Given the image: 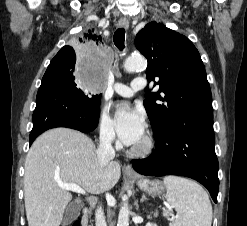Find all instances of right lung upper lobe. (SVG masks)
Listing matches in <instances>:
<instances>
[{
  "label": "right lung upper lobe",
  "mask_w": 247,
  "mask_h": 226,
  "mask_svg": "<svg viewBox=\"0 0 247 226\" xmlns=\"http://www.w3.org/2000/svg\"><path fill=\"white\" fill-rule=\"evenodd\" d=\"M80 41L84 40L93 46L98 45L102 41L101 36L94 32V29H89L87 33L84 34L83 38H79ZM74 53V50L70 46H64L57 55L50 62L49 67L53 66L60 57L70 56Z\"/></svg>",
  "instance_id": "cb5924a9"
}]
</instances>
